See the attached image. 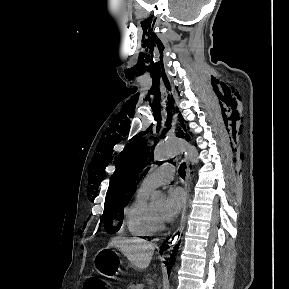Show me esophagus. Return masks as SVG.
Here are the masks:
<instances>
[{"label": "esophagus", "instance_id": "esophagus-1", "mask_svg": "<svg viewBox=\"0 0 289 289\" xmlns=\"http://www.w3.org/2000/svg\"><path fill=\"white\" fill-rule=\"evenodd\" d=\"M185 164H186V178L184 182L185 203L181 211L179 226L169 240V242H172L173 244L176 243L180 239L184 226H185V222H186V212H187L188 199H189V183H190L191 169H190V164L187 160H185Z\"/></svg>", "mask_w": 289, "mask_h": 289}]
</instances>
